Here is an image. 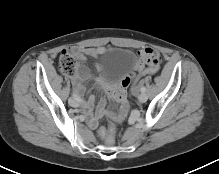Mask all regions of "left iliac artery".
Instances as JSON below:
<instances>
[{
	"label": "left iliac artery",
	"mask_w": 219,
	"mask_h": 174,
	"mask_svg": "<svg viewBox=\"0 0 219 174\" xmlns=\"http://www.w3.org/2000/svg\"><path fill=\"white\" fill-rule=\"evenodd\" d=\"M140 91H141L142 93H144V92H146V88H145L144 86H142V87L140 88Z\"/></svg>",
	"instance_id": "left-iliac-artery-1"
}]
</instances>
